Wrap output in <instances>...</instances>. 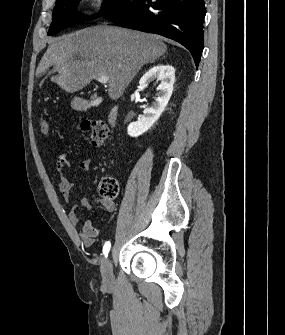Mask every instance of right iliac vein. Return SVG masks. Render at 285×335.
I'll use <instances>...</instances> for the list:
<instances>
[{"instance_id":"right-iliac-vein-1","label":"right iliac vein","mask_w":285,"mask_h":335,"mask_svg":"<svg viewBox=\"0 0 285 335\" xmlns=\"http://www.w3.org/2000/svg\"><path fill=\"white\" fill-rule=\"evenodd\" d=\"M112 267L111 259L107 258L102 266V279L103 283L107 286H111L113 283Z\"/></svg>"}]
</instances>
